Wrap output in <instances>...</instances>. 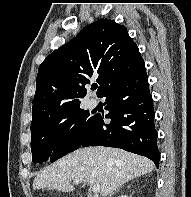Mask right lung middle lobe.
<instances>
[{
	"mask_svg": "<svg viewBox=\"0 0 191 197\" xmlns=\"http://www.w3.org/2000/svg\"><path fill=\"white\" fill-rule=\"evenodd\" d=\"M95 121L79 105L62 111L31 128L33 163L54 162L78 149Z\"/></svg>",
	"mask_w": 191,
	"mask_h": 197,
	"instance_id": "obj_1",
	"label": "right lung middle lobe"
}]
</instances>
